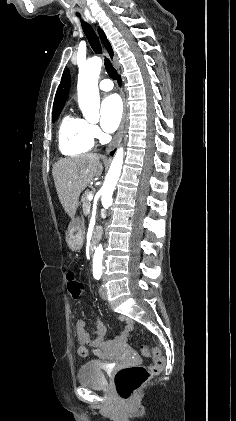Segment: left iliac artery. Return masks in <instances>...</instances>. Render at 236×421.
I'll list each match as a JSON object with an SVG mask.
<instances>
[{"label":"left iliac artery","mask_w":236,"mask_h":421,"mask_svg":"<svg viewBox=\"0 0 236 421\" xmlns=\"http://www.w3.org/2000/svg\"><path fill=\"white\" fill-rule=\"evenodd\" d=\"M102 273H94L93 276L95 279L99 280L101 278Z\"/></svg>","instance_id":"44dca946"}]
</instances>
